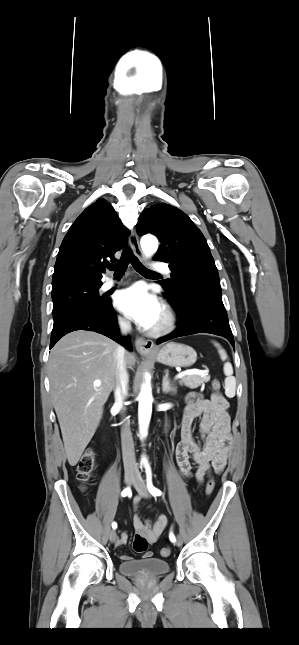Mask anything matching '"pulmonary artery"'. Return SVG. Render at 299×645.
Here are the masks:
<instances>
[{"label":"pulmonary artery","instance_id":"obj_1","mask_svg":"<svg viewBox=\"0 0 299 645\" xmlns=\"http://www.w3.org/2000/svg\"><path fill=\"white\" fill-rule=\"evenodd\" d=\"M152 268L154 270H156V271H161V272H163L165 274H170L171 273V270H170L169 266L167 264H165V263L155 262L152 265ZM118 283H119V281L116 280V279L107 278L105 280V282L103 283V285H102V290H109V289L113 288L114 286H116Z\"/></svg>","mask_w":299,"mask_h":645}]
</instances>
